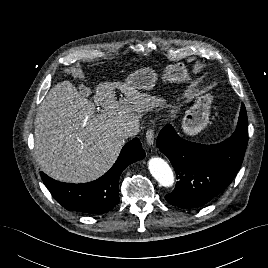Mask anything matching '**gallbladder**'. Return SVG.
Listing matches in <instances>:
<instances>
[{
  "label": "gallbladder",
  "mask_w": 268,
  "mask_h": 268,
  "mask_svg": "<svg viewBox=\"0 0 268 268\" xmlns=\"http://www.w3.org/2000/svg\"><path fill=\"white\" fill-rule=\"evenodd\" d=\"M88 92H89V88H86V87H81V88H80V93H81V94L85 95V94L88 93Z\"/></svg>",
  "instance_id": "1"
}]
</instances>
